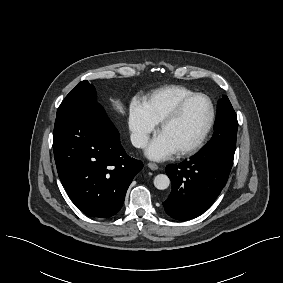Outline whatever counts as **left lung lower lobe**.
<instances>
[{"label": "left lung lower lobe", "instance_id": "1", "mask_svg": "<svg viewBox=\"0 0 283 283\" xmlns=\"http://www.w3.org/2000/svg\"><path fill=\"white\" fill-rule=\"evenodd\" d=\"M233 158L234 152L225 148L204 146L189 161L167 166L172 191L163 202L166 213L177 220H188L205 212L225 186Z\"/></svg>", "mask_w": 283, "mask_h": 283}]
</instances>
